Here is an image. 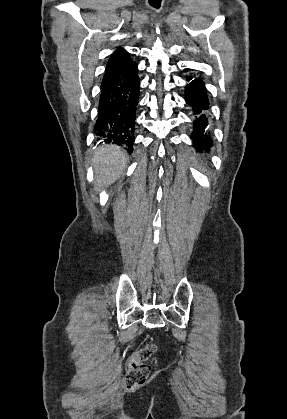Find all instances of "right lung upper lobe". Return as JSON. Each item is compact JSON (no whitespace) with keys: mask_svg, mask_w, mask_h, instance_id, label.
Returning a JSON list of instances; mask_svg holds the SVG:
<instances>
[{"mask_svg":"<svg viewBox=\"0 0 287 419\" xmlns=\"http://www.w3.org/2000/svg\"><path fill=\"white\" fill-rule=\"evenodd\" d=\"M135 66L136 63L130 59L129 53L123 49H117L108 61L102 83L129 72Z\"/></svg>","mask_w":287,"mask_h":419,"instance_id":"1","label":"right lung upper lobe"}]
</instances>
